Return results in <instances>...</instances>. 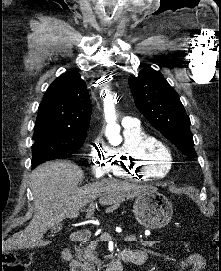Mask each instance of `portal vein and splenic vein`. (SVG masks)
Here are the masks:
<instances>
[{
  "mask_svg": "<svg viewBox=\"0 0 221 271\" xmlns=\"http://www.w3.org/2000/svg\"><path fill=\"white\" fill-rule=\"evenodd\" d=\"M103 237L101 238L102 242H109L113 237L111 234L106 233L105 231L102 233ZM122 239H125L127 242H137V235L136 234H122Z\"/></svg>",
  "mask_w": 221,
  "mask_h": 271,
  "instance_id": "18ae733b",
  "label": "portal vein and splenic vein"
}]
</instances>
